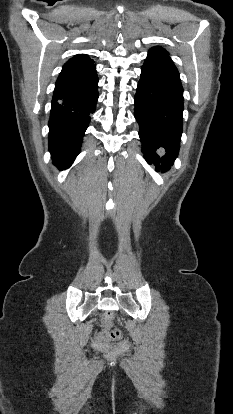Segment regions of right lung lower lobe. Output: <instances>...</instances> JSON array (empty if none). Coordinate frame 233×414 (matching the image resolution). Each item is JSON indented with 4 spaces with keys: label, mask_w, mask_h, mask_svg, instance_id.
<instances>
[{
    "label": "right lung lower lobe",
    "mask_w": 233,
    "mask_h": 414,
    "mask_svg": "<svg viewBox=\"0 0 233 414\" xmlns=\"http://www.w3.org/2000/svg\"><path fill=\"white\" fill-rule=\"evenodd\" d=\"M95 66L82 72H61L53 93L49 119V150L53 163L68 168L79 153L84 132L95 112L98 78Z\"/></svg>",
    "instance_id": "98d812e1"
}]
</instances>
